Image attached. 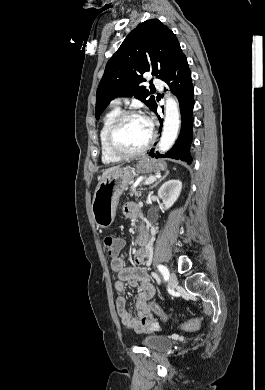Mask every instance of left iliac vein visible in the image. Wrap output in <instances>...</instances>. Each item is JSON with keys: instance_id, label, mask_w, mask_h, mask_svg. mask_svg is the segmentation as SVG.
Segmentation results:
<instances>
[{"instance_id": "obj_1", "label": "left iliac vein", "mask_w": 265, "mask_h": 390, "mask_svg": "<svg viewBox=\"0 0 265 390\" xmlns=\"http://www.w3.org/2000/svg\"><path fill=\"white\" fill-rule=\"evenodd\" d=\"M169 282H170L171 286H173V287L176 286L178 280H177V276H176V274L174 272L170 273Z\"/></svg>"}]
</instances>
